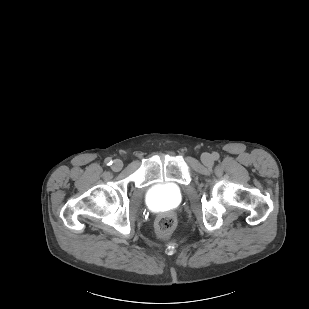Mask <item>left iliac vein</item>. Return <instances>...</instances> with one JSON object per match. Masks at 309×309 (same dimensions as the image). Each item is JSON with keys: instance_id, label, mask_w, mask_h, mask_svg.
I'll return each instance as SVG.
<instances>
[{"instance_id": "obj_1", "label": "left iliac vein", "mask_w": 309, "mask_h": 309, "mask_svg": "<svg viewBox=\"0 0 309 309\" xmlns=\"http://www.w3.org/2000/svg\"><path fill=\"white\" fill-rule=\"evenodd\" d=\"M201 161L204 165L206 166H212L214 163V160L212 158V156L208 153H203L201 156Z\"/></svg>"}]
</instances>
